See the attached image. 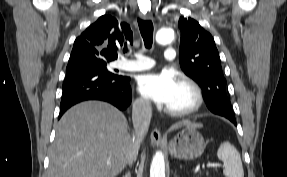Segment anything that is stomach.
Masks as SVG:
<instances>
[{
  "mask_svg": "<svg viewBox=\"0 0 287 177\" xmlns=\"http://www.w3.org/2000/svg\"><path fill=\"white\" fill-rule=\"evenodd\" d=\"M205 147L204 138L196 128L186 126L170 141L169 152L178 159L194 160L203 154Z\"/></svg>",
  "mask_w": 287,
  "mask_h": 177,
  "instance_id": "0dacf381",
  "label": "stomach"
}]
</instances>
